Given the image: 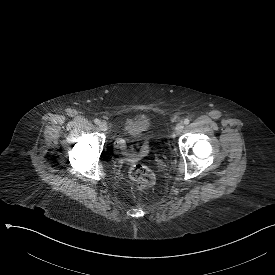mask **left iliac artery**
I'll return each mask as SVG.
<instances>
[{
  "label": "left iliac artery",
  "mask_w": 275,
  "mask_h": 275,
  "mask_svg": "<svg viewBox=\"0 0 275 275\" xmlns=\"http://www.w3.org/2000/svg\"><path fill=\"white\" fill-rule=\"evenodd\" d=\"M189 123H190V120H189V119H185V120H184V124H185V125H188Z\"/></svg>",
  "instance_id": "obj_1"
}]
</instances>
